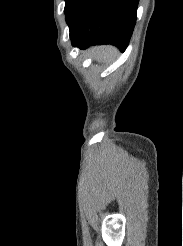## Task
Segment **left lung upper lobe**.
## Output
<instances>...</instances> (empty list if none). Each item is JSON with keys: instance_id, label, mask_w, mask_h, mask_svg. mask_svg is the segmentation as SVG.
Segmentation results:
<instances>
[{"instance_id": "left-lung-upper-lobe-1", "label": "left lung upper lobe", "mask_w": 183, "mask_h": 246, "mask_svg": "<svg viewBox=\"0 0 183 246\" xmlns=\"http://www.w3.org/2000/svg\"><path fill=\"white\" fill-rule=\"evenodd\" d=\"M71 2H72V0H65V10H64L65 13L67 12V9H68Z\"/></svg>"}]
</instances>
